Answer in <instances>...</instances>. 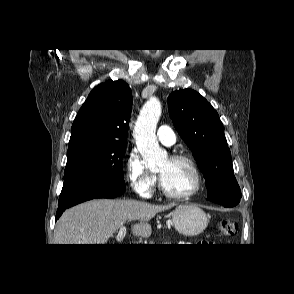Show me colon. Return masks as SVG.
<instances>
[{
  "label": "colon",
  "mask_w": 294,
  "mask_h": 294,
  "mask_svg": "<svg viewBox=\"0 0 294 294\" xmlns=\"http://www.w3.org/2000/svg\"><path fill=\"white\" fill-rule=\"evenodd\" d=\"M217 228L224 236H233L237 231V222L231 219H222L217 222Z\"/></svg>",
  "instance_id": "obj_1"
}]
</instances>
